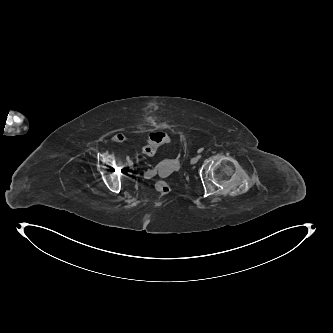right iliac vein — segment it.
Here are the masks:
<instances>
[{"mask_svg":"<svg viewBox=\"0 0 333 333\" xmlns=\"http://www.w3.org/2000/svg\"><path fill=\"white\" fill-rule=\"evenodd\" d=\"M129 167L132 168L133 167V162L132 160H130V162L128 163Z\"/></svg>","mask_w":333,"mask_h":333,"instance_id":"1","label":"right iliac vein"}]
</instances>
